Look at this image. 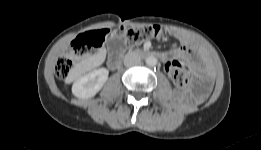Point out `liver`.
Listing matches in <instances>:
<instances>
[{"label":"liver","instance_id":"obj_1","mask_svg":"<svg viewBox=\"0 0 261 150\" xmlns=\"http://www.w3.org/2000/svg\"><path fill=\"white\" fill-rule=\"evenodd\" d=\"M105 59V50L102 49L99 54L91 56L85 60H83L79 64V73H85L104 62Z\"/></svg>","mask_w":261,"mask_h":150}]
</instances>
